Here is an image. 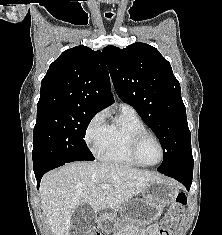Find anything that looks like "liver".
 I'll return each mask as SVG.
<instances>
[{
    "label": "liver",
    "instance_id": "1",
    "mask_svg": "<svg viewBox=\"0 0 222 235\" xmlns=\"http://www.w3.org/2000/svg\"><path fill=\"white\" fill-rule=\"evenodd\" d=\"M154 172L101 162H73L53 170L40 184L41 209L52 235H70L71 217L81 204L95 214L115 208L161 180ZM107 184L106 189L101 188Z\"/></svg>",
    "mask_w": 222,
    "mask_h": 235
}]
</instances>
